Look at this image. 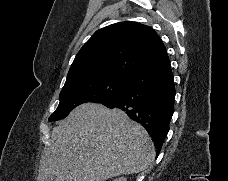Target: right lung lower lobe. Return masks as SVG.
Segmentation results:
<instances>
[{"mask_svg": "<svg viewBox=\"0 0 228 181\" xmlns=\"http://www.w3.org/2000/svg\"><path fill=\"white\" fill-rule=\"evenodd\" d=\"M175 86L170 60L150 66L131 78L114 98L101 104L119 108L145 127L159 155L174 112Z\"/></svg>", "mask_w": 228, "mask_h": 181, "instance_id": "1", "label": "right lung lower lobe"}]
</instances>
